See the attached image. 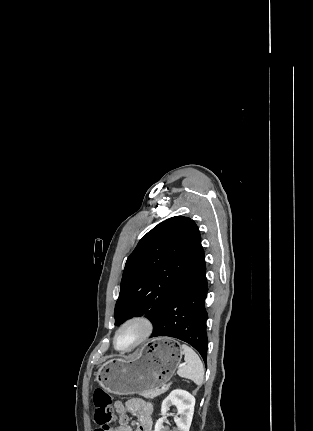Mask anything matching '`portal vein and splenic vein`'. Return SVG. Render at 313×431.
<instances>
[{"instance_id": "18ae733b", "label": "portal vein and splenic vein", "mask_w": 313, "mask_h": 431, "mask_svg": "<svg viewBox=\"0 0 313 431\" xmlns=\"http://www.w3.org/2000/svg\"><path fill=\"white\" fill-rule=\"evenodd\" d=\"M184 366V364H181L179 367H183ZM164 388V387H163Z\"/></svg>"}]
</instances>
